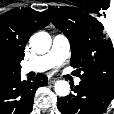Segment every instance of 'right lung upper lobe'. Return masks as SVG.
Segmentation results:
<instances>
[{"label":"right lung upper lobe","mask_w":114,"mask_h":114,"mask_svg":"<svg viewBox=\"0 0 114 114\" xmlns=\"http://www.w3.org/2000/svg\"><path fill=\"white\" fill-rule=\"evenodd\" d=\"M48 24L44 12L27 8L0 15V70L19 73L28 39Z\"/></svg>","instance_id":"right-lung-upper-lobe-1"}]
</instances>
